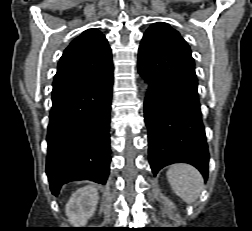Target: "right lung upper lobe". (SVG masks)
<instances>
[{"mask_svg": "<svg viewBox=\"0 0 252 231\" xmlns=\"http://www.w3.org/2000/svg\"><path fill=\"white\" fill-rule=\"evenodd\" d=\"M113 71L111 49L97 29H88L65 49L53 81L52 100Z\"/></svg>", "mask_w": 252, "mask_h": 231, "instance_id": "cb5924a9", "label": "right lung upper lobe"}]
</instances>
